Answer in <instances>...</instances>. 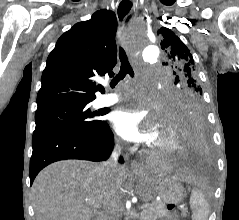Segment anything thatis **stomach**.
<instances>
[{"instance_id":"stomach-1","label":"stomach","mask_w":239,"mask_h":220,"mask_svg":"<svg viewBox=\"0 0 239 220\" xmlns=\"http://www.w3.org/2000/svg\"><path fill=\"white\" fill-rule=\"evenodd\" d=\"M141 186H151V191L155 195L160 196L163 201L169 205H164V210L169 212H162V220H184L186 212H178L183 210V205H176L185 197V189L181 182L174 178H154V183H140ZM146 198V197H143Z\"/></svg>"}]
</instances>
